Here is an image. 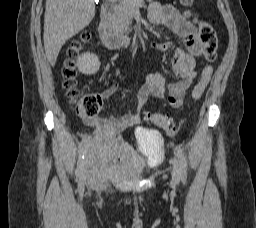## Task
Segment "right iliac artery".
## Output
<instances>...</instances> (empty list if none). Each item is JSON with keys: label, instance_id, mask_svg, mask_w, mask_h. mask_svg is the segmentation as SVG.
Listing matches in <instances>:
<instances>
[{"label": "right iliac artery", "instance_id": "1", "mask_svg": "<svg viewBox=\"0 0 256 228\" xmlns=\"http://www.w3.org/2000/svg\"><path fill=\"white\" fill-rule=\"evenodd\" d=\"M80 143L82 144L79 150V160L76 168V176L79 177V180H81L82 171L84 167V154L86 153V143L87 139H81Z\"/></svg>", "mask_w": 256, "mask_h": 228}]
</instances>
